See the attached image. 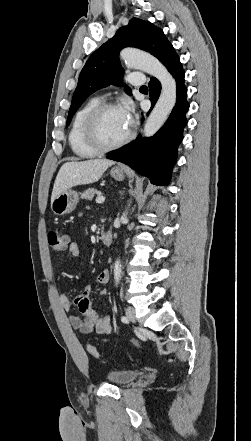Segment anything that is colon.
<instances>
[{"instance_id":"5ec220e1","label":"colon","mask_w":251,"mask_h":441,"mask_svg":"<svg viewBox=\"0 0 251 441\" xmlns=\"http://www.w3.org/2000/svg\"><path fill=\"white\" fill-rule=\"evenodd\" d=\"M48 242L55 251H63L67 248L69 239L65 233L53 230L48 233ZM88 352L95 358L99 357V352L93 345L88 346Z\"/></svg>"}]
</instances>
